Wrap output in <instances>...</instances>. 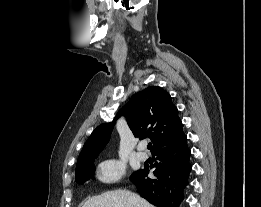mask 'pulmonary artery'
Returning a JSON list of instances; mask_svg holds the SVG:
<instances>
[{"label":"pulmonary artery","instance_id":"e3ab8cb5","mask_svg":"<svg viewBox=\"0 0 261 207\" xmlns=\"http://www.w3.org/2000/svg\"><path fill=\"white\" fill-rule=\"evenodd\" d=\"M145 150V144H140L138 146V152H137V157L142 160L145 161L148 159V155L144 152Z\"/></svg>","mask_w":261,"mask_h":207}]
</instances>
